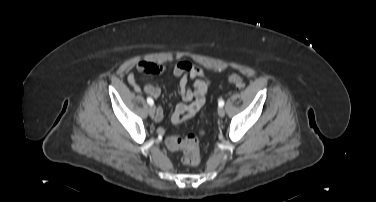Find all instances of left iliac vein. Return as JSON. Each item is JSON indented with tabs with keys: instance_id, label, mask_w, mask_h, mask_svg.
<instances>
[{
	"instance_id": "4c4485c4",
	"label": "left iliac vein",
	"mask_w": 376,
	"mask_h": 202,
	"mask_svg": "<svg viewBox=\"0 0 376 202\" xmlns=\"http://www.w3.org/2000/svg\"><path fill=\"white\" fill-rule=\"evenodd\" d=\"M218 115L220 117H223L225 115V110L222 107H219V109H218Z\"/></svg>"
}]
</instances>
